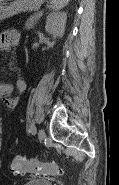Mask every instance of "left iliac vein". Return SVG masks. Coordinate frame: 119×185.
<instances>
[{"label": "left iliac vein", "instance_id": "1", "mask_svg": "<svg viewBox=\"0 0 119 185\" xmlns=\"http://www.w3.org/2000/svg\"><path fill=\"white\" fill-rule=\"evenodd\" d=\"M45 131H44V129H40L39 130V132H38V139H39V141H43L44 140V138H45Z\"/></svg>", "mask_w": 119, "mask_h": 185}]
</instances>
